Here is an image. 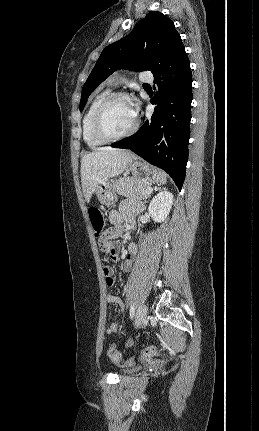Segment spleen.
<instances>
[{
  "mask_svg": "<svg viewBox=\"0 0 259 431\" xmlns=\"http://www.w3.org/2000/svg\"><path fill=\"white\" fill-rule=\"evenodd\" d=\"M159 174H160V182L165 184L167 181V176H166L165 172L159 171Z\"/></svg>",
  "mask_w": 259,
  "mask_h": 431,
  "instance_id": "1",
  "label": "spleen"
}]
</instances>
